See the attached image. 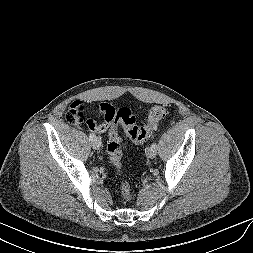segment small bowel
Listing matches in <instances>:
<instances>
[{"mask_svg":"<svg viewBox=\"0 0 253 253\" xmlns=\"http://www.w3.org/2000/svg\"><path fill=\"white\" fill-rule=\"evenodd\" d=\"M99 114L103 118L101 123H96L92 120V124H87L89 129L97 134L104 133L112 127L114 108L111 105L104 103L99 107Z\"/></svg>","mask_w":253,"mask_h":253,"instance_id":"c3829d8e","label":"small bowel"}]
</instances>
